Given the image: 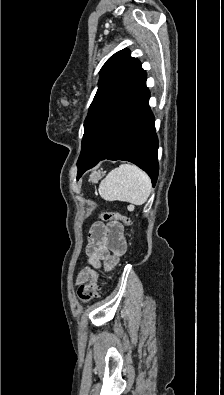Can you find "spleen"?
Listing matches in <instances>:
<instances>
[{
  "mask_svg": "<svg viewBox=\"0 0 224 395\" xmlns=\"http://www.w3.org/2000/svg\"><path fill=\"white\" fill-rule=\"evenodd\" d=\"M152 185L150 177L135 165L122 164L113 169L99 186L100 196L107 201L144 204Z\"/></svg>",
  "mask_w": 224,
  "mask_h": 395,
  "instance_id": "1",
  "label": "spleen"
}]
</instances>
